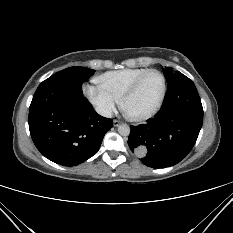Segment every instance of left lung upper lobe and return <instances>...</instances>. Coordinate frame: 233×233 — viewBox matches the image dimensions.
<instances>
[{"mask_svg":"<svg viewBox=\"0 0 233 233\" xmlns=\"http://www.w3.org/2000/svg\"><path fill=\"white\" fill-rule=\"evenodd\" d=\"M165 78L167 80V83L169 84L172 80V77L175 73H173L172 68L167 67L164 71H163Z\"/></svg>","mask_w":233,"mask_h":233,"instance_id":"5c2ea615","label":"left lung upper lobe"}]
</instances>
